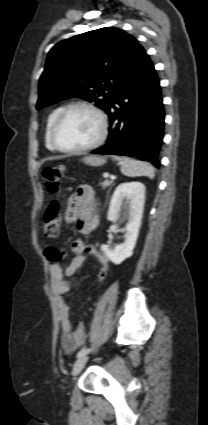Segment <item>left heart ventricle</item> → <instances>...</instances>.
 Returning a JSON list of instances; mask_svg holds the SVG:
<instances>
[{"mask_svg":"<svg viewBox=\"0 0 208 425\" xmlns=\"http://www.w3.org/2000/svg\"><path fill=\"white\" fill-rule=\"evenodd\" d=\"M100 124L90 111L75 109L61 121L56 140L64 148H80L92 143L98 136Z\"/></svg>","mask_w":208,"mask_h":425,"instance_id":"1","label":"left heart ventricle"}]
</instances>
